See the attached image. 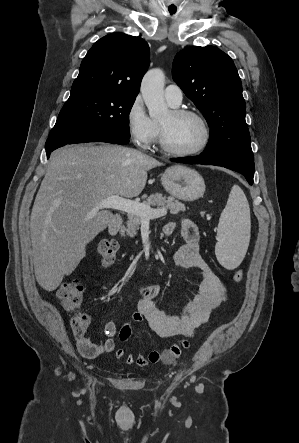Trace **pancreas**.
<instances>
[{
  "label": "pancreas",
  "instance_id": "cf45deb5",
  "mask_svg": "<svg viewBox=\"0 0 299 443\" xmlns=\"http://www.w3.org/2000/svg\"><path fill=\"white\" fill-rule=\"evenodd\" d=\"M143 204L147 206H155L158 209H168L173 215L178 214L180 211H185L183 203L175 200L173 197H165L159 193L150 195L145 201H143ZM127 217L128 221L126 223V228L121 229V235L125 236L126 234L130 237H134L139 230L142 219L140 216L131 213H128Z\"/></svg>",
  "mask_w": 299,
  "mask_h": 443
}]
</instances>
